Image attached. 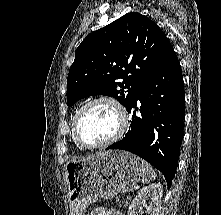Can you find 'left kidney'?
I'll list each match as a JSON object with an SVG mask.
<instances>
[{
	"mask_svg": "<svg viewBox=\"0 0 221 215\" xmlns=\"http://www.w3.org/2000/svg\"><path fill=\"white\" fill-rule=\"evenodd\" d=\"M163 186L154 183L140 190L128 209V215H137V209L145 207L148 215H159ZM147 200L149 202L147 203Z\"/></svg>",
	"mask_w": 221,
	"mask_h": 215,
	"instance_id": "obj_1",
	"label": "left kidney"
}]
</instances>
